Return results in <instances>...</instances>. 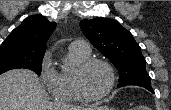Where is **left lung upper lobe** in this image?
<instances>
[{
  "label": "left lung upper lobe",
  "instance_id": "5c2ea615",
  "mask_svg": "<svg viewBox=\"0 0 171 110\" xmlns=\"http://www.w3.org/2000/svg\"><path fill=\"white\" fill-rule=\"evenodd\" d=\"M80 27L84 35L95 48L103 53L119 71L118 87L138 85L151 87L150 77L146 72V61L140 46L132 34L110 18L82 20Z\"/></svg>",
  "mask_w": 171,
  "mask_h": 110
}]
</instances>
